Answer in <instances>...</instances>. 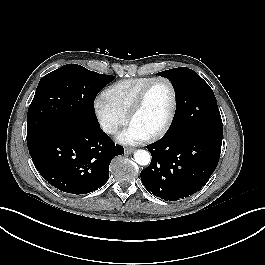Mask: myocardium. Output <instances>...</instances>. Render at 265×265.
<instances>
[{"instance_id": "1", "label": "myocardium", "mask_w": 265, "mask_h": 265, "mask_svg": "<svg viewBox=\"0 0 265 265\" xmlns=\"http://www.w3.org/2000/svg\"><path fill=\"white\" fill-rule=\"evenodd\" d=\"M165 82L168 84L170 90H171V95H172V102H171V108L168 114V117L165 121V123L162 125L161 128H159L157 131H155L154 133H152L151 135L147 136L148 140L154 141V140H158L161 137H163L171 128L174 119H175V115H176V111H177V102H178V98H177V90L176 87L174 85V83L167 77L164 76H157V77H153L139 92V94L137 95L136 99L134 100L130 111L128 113V122L131 123L132 119L134 118V116L140 111V109L142 108L144 101L146 99V96L149 92V90L151 89V87L157 83V82Z\"/></svg>"}]
</instances>
